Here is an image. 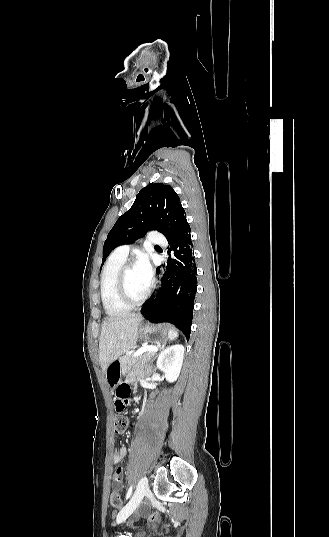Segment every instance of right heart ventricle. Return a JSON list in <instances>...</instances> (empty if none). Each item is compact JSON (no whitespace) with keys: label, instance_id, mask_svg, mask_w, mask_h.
Masks as SVG:
<instances>
[{"label":"right heart ventricle","instance_id":"1","mask_svg":"<svg viewBox=\"0 0 329 537\" xmlns=\"http://www.w3.org/2000/svg\"><path fill=\"white\" fill-rule=\"evenodd\" d=\"M124 263L125 259L112 254L101 273V299L106 313L111 316L125 314L131 309L121 301L117 289V275Z\"/></svg>","mask_w":329,"mask_h":537}]
</instances>
